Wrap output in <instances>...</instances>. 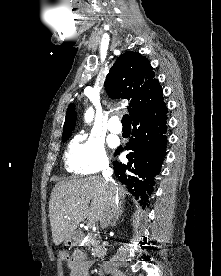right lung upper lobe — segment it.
<instances>
[{"mask_svg": "<svg viewBox=\"0 0 221 276\" xmlns=\"http://www.w3.org/2000/svg\"><path fill=\"white\" fill-rule=\"evenodd\" d=\"M150 62L137 52H126L117 58L105 82L111 99L130 100L131 119L153 110L163 102L159 81L154 79ZM75 106L70 104L63 127V140H68L76 124Z\"/></svg>", "mask_w": 221, "mask_h": 276, "instance_id": "cb5924a9", "label": "right lung upper lobe"}]
</instances>
